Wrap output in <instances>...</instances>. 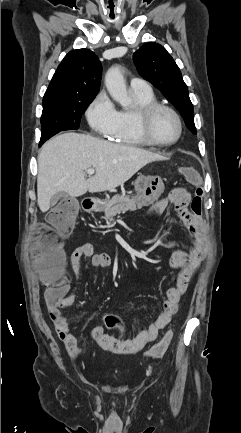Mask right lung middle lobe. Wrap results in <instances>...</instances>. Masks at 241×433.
<instances>
[{
  "label": "right lung middle lobe",
  "instance_id": "obj_1",
  "mask_svg": "<svg viewBox=\"0 0 241 433\" xmlns=\"http://www.w3.org/2000/svg\"><path fill=\"white\" fill-rule=\"evenodd\" d=\"M93 99H52L43 102L40 145L60 131L78 129L81 115Z\"/></svg>",
  "mask_w": 241,
  "mask_h": 433
}]
</instances>
